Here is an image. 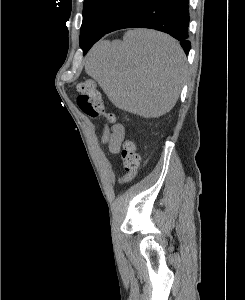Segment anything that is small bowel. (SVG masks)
Masks as SVG:
<instances>
[{
  "mask_svg": "<svg viewBox=\"0 0 245 300\" xmlns=\"http://www.w3.org/2000/svg\"><path fill=\"white\" fill-rule=\"evenodd\" d=\"M124 138L125 128L121 123L104 124L101 142L108 147L112 156L119 154Z\"/></svg>",
  "mask_w": 245,
  "mask_h": 300,
  "instance_id": "obj_1",
  "label": "small bowel"
}]
</instances>
